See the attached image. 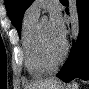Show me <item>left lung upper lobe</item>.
<instances>
[{"label":"left lung upper lobe","mask_w":89,"mask_h":89,"mask_svg":"<svg viewBox=\"0 0 89 89\" xmlns=\"http://www.w3.org/2000/svg\"><path fill=\"white\" fill-rule=\"evenodd\" d=\"M33 1L34 0H5L7 14L19 34L21 32L23 14Z\"/></svg>","instance_id":"obj_1"}]
</instances>
